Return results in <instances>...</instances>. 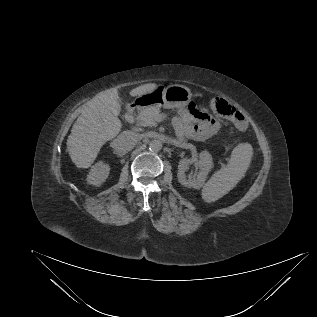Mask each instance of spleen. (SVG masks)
Masks as SVG:
<instances>
[{"instance_id":"1","label":"spleen","mask_w":317,"mask_h":317,"mask_svg":"<svg viewBox=\"0 0 317 317\" xmlns=\"http://www.w3.org/2000/svg\"><path fill=\"white\" fill-rule=\"evenodd\" d=\"M252 146L242 143L236 146L228 164L214 173L202 189V199L211 203L223 197L238 183L247 171L252 158Z\"/></svg>"}]
</instances>
